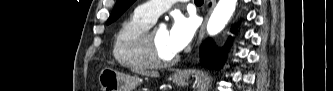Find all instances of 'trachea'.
<instances>
[{
    "mask_svg": "<svg viewBox=\"0 0 333 91\" xmlns=\"http://www.w3.org/2000/svg\"><path fill=\"white\" fill-rule=\"evenodd\" d=\"M195 3H203V0H195Z\"/></svg>",
    "mask_w": 333,
    "mask_h": 91,
    "instance_id": "obj_1",
    "label": "trachea"
}]
</instances>
